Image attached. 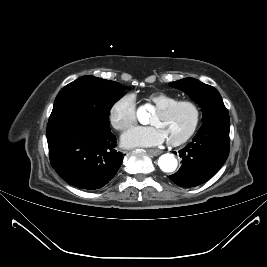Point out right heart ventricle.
Masks as SVG:
<instances>
[{"mask_svg": "<svg viewBox=\"0 0 267 267\" xmlns=\"http://www.w3.org/2000/svg\"><path fill=\"white\" fill-rule=\"evenodd\" d=\"M178 98L167 93L157 92L149 95L148 101L152 103L156 109L177 101Z\"/></svg>", "mask_w": 267, "mask_h": 267, "instance_id": "e07e8e85", "label": "right heart ventricle"}]
</instances>
